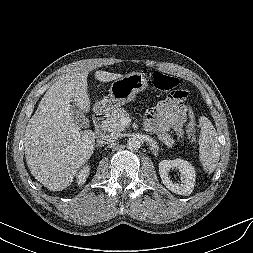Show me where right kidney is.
Returning a JSON list of instances; mask_svg holds the SVG:
<instances>
[{"label":"right kidney","instance_id":"1","mask_svg":"<svg viewBox=\"0 0 253 253\" xmlns=\"http://www.w3.org/2000/svg\"><path fill=\"white\" fill-rule=\"evenodd\" d=\"M89 172H90L89 166L83 167V169L77 175L78 185H82L86 181V178L88 177Z\"/></svg>","mask_w":253,"mask_h":253}]
</instances>
